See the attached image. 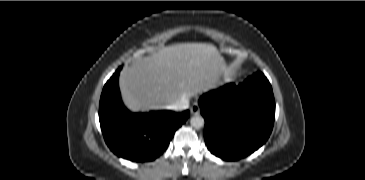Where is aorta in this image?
<instances>
[{"label": "aorta", "instance_id": "obj_1", "mask_svg": "<svg viewBox=\"0 0 365 180\" xmlns=\"http://www.w3.org/2000/svg\"><path fill=\"white\" fill-rule=\"evenodd\" d=\"M204 123H205L204 118L200 115L193 116L190 119L191 126L196 128V129H199V128L203 127Z\"/></svg>", "mask_w": 365, "mask_h": 180}]
</instances>
